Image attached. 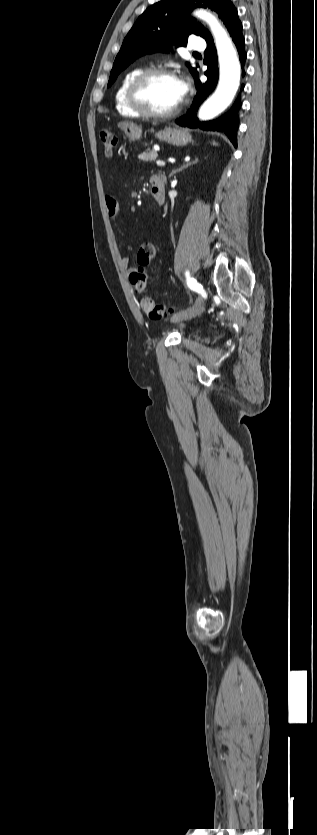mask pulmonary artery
<instances>
[{
	"label": "pulmonary artery",
	"instance_id": "1",
	"mask_svg": "<svg viewBox=\"0 0 317 835\" xmlns=\"http://www.w3.org/2000/svg\"><path fill=\"white\" fill-rule=\"evenodd\" d=\"M205 42L201 38H195L191 41L189 49L195 52L203 51L205 49Z\"/></svg>",
	"mask_w": 317,
	"mask_h": 835
}]
</instances>
